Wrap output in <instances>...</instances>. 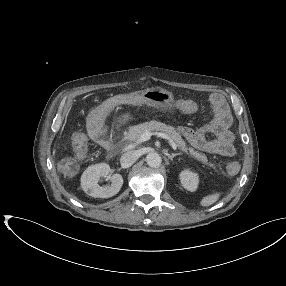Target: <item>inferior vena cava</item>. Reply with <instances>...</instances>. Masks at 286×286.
Instances as JSON below:
<instances>
[{"instance_id":"inferior-vena-cava-1","label":"inferior vena cava","mask_w":286,"mask_h":286,"mask_svg":"<svg viewBox=\"0 0 286 286\" xmlns=\"http://www.w3.org/2000/svg\"><path fill=\"white\" fill-rule=\"evenodd\" d=\"M138 159V153L135 150H130L124 153L120 158V163L123 168H128L133 165Z\"/></svg>"}]
</instances>
